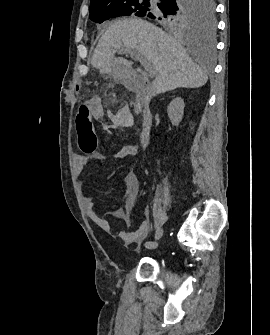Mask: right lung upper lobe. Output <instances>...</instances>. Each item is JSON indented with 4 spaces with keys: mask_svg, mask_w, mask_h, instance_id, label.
<instances>
[{
    "mask_svg": "<svg viewBox=\"0 0 270 335\" xmlns=\"http://www.w3.org/2000/svg\"><path fill=\"white\" fill-rule=\"evenodd\" d=\"M111 0H91L90 7L101 6L108 3Z\"/></svg>",
    "mask_w": 270,
    "mask_h": 335,
    "instance_id": "obj_1",
    "label": "right lung upper lobe"
}]
</instances>
